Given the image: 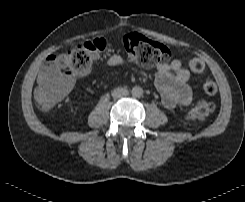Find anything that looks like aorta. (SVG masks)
Wrapping results in <instances>:
<instances>
[{"mask_svg": "<svg viewBox=\"0 0 245 202\" xmlns=\"http://www.w3.org/2000/svg\"><path fill=\"white\" fill-rule=\"evenodd\" d=\"M131 93H132L133 97L139 98V97H141L143 95V89L140 86H134L132 88Z\"/></svg>", "mask_w": 245, "mask_h": 202, "instance_id": "obj_1", "label": "aorta"}]
</instances>
